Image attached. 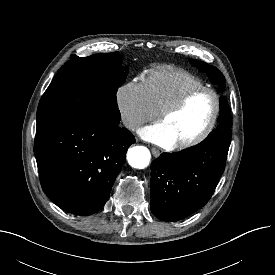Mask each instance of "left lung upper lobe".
Returning <instances> with one entry per match:
<instances>
[{"label":"left lung upper lobe","mask_w":275,"mask_h":275,"mask_svg":"<svg viewBox=\"0 0 275 275\" xmlns=\"http://www.w3.org/2000/svg\"><path fill=\"white\" fill-rule=\"evenodd\" d=\"M190 62L197 66V68L202 71L206 72L209 79L212 83L219 85V92H223L225 89V77L223 74L214 66H210L209 64L198 61L195 59H191ZM231 113L230 107L228 105L227 99L224 96L220 97V117L218 120L217 127L210 133L213 134H226L231 136Z\"/></svg>","instance_id":"5c2ea615"}]
</instances>
